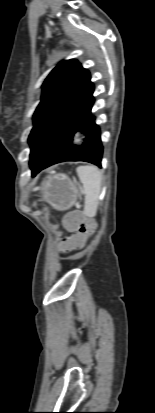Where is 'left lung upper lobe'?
I'll list each match as a JSON object with an SVG mask.
<instances>
[{"label":"left lung upper lobe","instance_id":"5c2ea615","mask_svg":"<svg viewBox=\"0 0 155 413\" xmlns=\"http://www.w3.org/2000/svg\"><path fill=\"white\" fill-rule=\"evenodd\" d=\"M41 102L33 115L30 168L49 160L58 150L57 139L76 125L93 98L90 73L75 60L60 62L42 85Z\"/></svg>","mask_w":155,"mask_h":413}]
</instances>
